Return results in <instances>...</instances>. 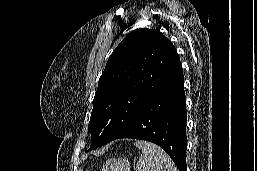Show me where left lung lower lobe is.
I'll return each instance as SVG.
<instances>
[{
  "label": "left lung lower lobe",
  "mask_w": 257,
  "mask_h": 171,
  "mask_svg": "<svg viewBox=\"0 0 257 171\" xmlns=\"http://www.w3.org/2000/svg\"><path fill=\"white\" fill-rule=\"evenodd\" d=\"M186 98L180 58L132 122L115 138H134L162 147L179 171H186ZM111 140V141H112Z\"/></svg>",
  "instance_id": "obj_1"
}]
</instances>
